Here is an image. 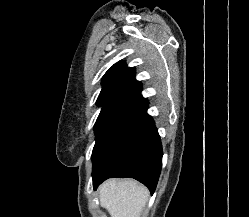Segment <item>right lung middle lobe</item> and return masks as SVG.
<instances>
[{
	"mask_svg": "<svg viewBox=\"0 0 249 217\" xmlns=\"http://www.w3.org/2000/svg\"><path fill=\"white\" fill-rule=\"evenodd\" d=\"M121 95L119 94H111V95H106V96H102V97H98L97 99V104L102 106L101 112L99 114V117L95 123V130L100 122V120L102 119V117L104 116V114L106 113V111L108 110V108L114 104Z\"/></svg>",
	"mask_w": 249,
	"mask_h": 217,
	"instance_id": "obj_1",
	"label": "right lung middle lobe"
}]
</instances>
